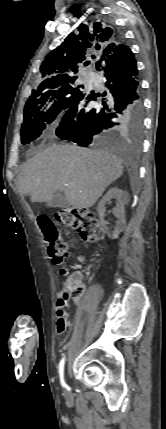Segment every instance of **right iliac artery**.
<instances>
[{"label": "right iliac artery", "mask_w": 166, "mask_h": 429, "mask_svg": "<svg viewBox=\"0 0 166 429\" xmlns=\"http://www.w3.org/2000/svg\"><path fill=\"white\" fill-rule=\"evenodd\" d=\"M64 364H65V357L62 358V360L59 363V375H60L61 385L63 387H66V384H65V381H64V377H63V374H64Z\"/></svg>", "instance_id": "obj_1"}]
</instances>
